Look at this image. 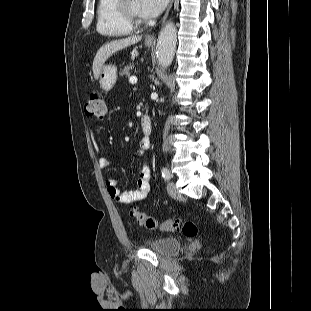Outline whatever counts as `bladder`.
<instances>
[{
	"label": "bladder",
	"mask_w": 311,
	"mask_h": 311,
	"mask_svg": "<svg viewBox=\"0 0 311 311\" xmlns=\"http://www.w3.org/2000/svg\"><path fill=\"white\" fill-rule=\"evenodd\" d=\"M148 249L161 255H171L177 252L181 247L179 239L174 237H158L145 240Z\"/></svg>",
	"instance_id": "31cf9c89"
}]
</instances>
